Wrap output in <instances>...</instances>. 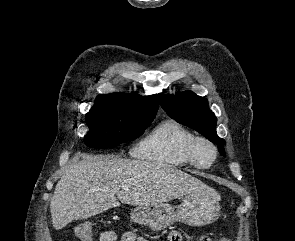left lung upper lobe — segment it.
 Returning a JSON list of instances; mask_svg holds the SVG:
<instances>
[{
    "label": "left lung upper lobe",
    "mask_w": 295,
    "mask_h": 241,
    "mask_svg": "<svg viewBox=\"0 0 295 241\" xmlns=\"http://www.w3.org/2000/svg\"><path fill=\"white\" fill-rule=\"evenodd\" d=\"M160 104L167 114L177 122L186 125L211 142L218 144L219 152L225 156V140L216 134L217 119L208 108L207 99L196 95L192 91H186L176 96L159 94Z\"/></svg>",
    "instance_id": "obj_1"
}]
</instances>
